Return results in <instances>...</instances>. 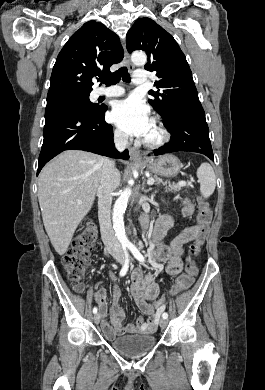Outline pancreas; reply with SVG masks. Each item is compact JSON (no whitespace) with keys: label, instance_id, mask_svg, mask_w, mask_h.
Listing matches in <instances>:
<instances>
[{"label":"pancreas","instance_id":"cf45deb5","mask_svg":"<svg viewBox=\"0 0 265 390\" xmlns=\"http://www.w3.org/2000/svg\"><path fill=\"white\" fill-rule=\"evenodd\" d=\"M154 180L156 181L157 184H163V185L166 184V185H168V187H167L168 191L178 192V191L181 190V188L183 186H186V184L182 185L180 183H177V184L170 183V181H164L163 179L158 178V177H154ZM188 185H190V184L188 183Z\"/></svg>","mask_w":265,"mask_h":390}]
</instances>
